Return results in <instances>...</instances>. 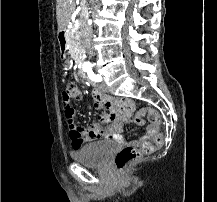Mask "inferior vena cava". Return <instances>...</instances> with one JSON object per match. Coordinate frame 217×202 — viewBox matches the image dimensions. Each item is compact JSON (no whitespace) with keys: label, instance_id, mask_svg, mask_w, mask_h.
Returning <instances> with one entry per match:
<instances>
[{"label":"inferior vena cava","instance_id":"1","mask_svg":"<svg viewBox=\"0 0 217 202\" xmlns=\"http://www.w3.org/2000/svg\"><path fill=\"white\" fill-rule=\"evenodd\" d=\"M81 4H86V0H81ZM82 38V44L86 50V54L92 58L94 56V50H93V30L92 28H88V30H85V32H82L81 34Z\"/></svg>","mask_w":217,"mask_h":202}]
</instances>
